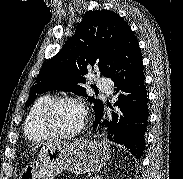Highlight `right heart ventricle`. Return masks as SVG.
I'll use <instances>...</instances> for the list:
<instances>
[{
	"label": "right heart ventricle",
	"mask_w": 183,
	"mask_h": 179,
	"mask_svg": "<svg viewBox=\"0 0 183 179\" xmlns=\"http://www.w3.org/2000/svg\"><path fill=\"white\" fill-rule=\"evenodd\" d=\"M53 98L46 94L39 97L32 105L24 127L26 137L33 142H40L48 137L39 128V116L44 106Z\"/></svg>",
	"instance_id": "right-heart-ventricle-1"
}]
</instances>
